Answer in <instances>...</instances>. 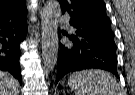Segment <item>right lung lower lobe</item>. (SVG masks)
I'll use <instances>...</instances> for the list:
<instances>
[{"instance_id": "1", "label": "right lung lower lobe", "mask_w": 135, "mask_h": 95, "mask_svg": "<svg viewBox=\"0 0 135 95\" xmlns=\"http://www.w3.org/2000/svg\"><path fill=\"white\" fill-rule=\"evenodd\" d=\"M27 35L26 17L20 20H0V70L10 72L22 84L20 43Z\"/></svg>"}]
</instances>
